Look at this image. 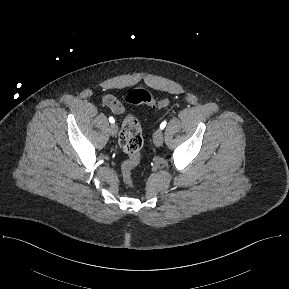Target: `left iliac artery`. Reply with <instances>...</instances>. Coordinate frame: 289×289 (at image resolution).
Listing matches in <instances>:
<instances>
[{
	"label": "left iliac artery",
	"mask_w": 289,
	"mask_h": 289,
	"mask_svg": "<svg viewBox=\"0 0 289 289\" xmlns=\"http://www.w3.org/2000/svg\"><path fill=\"white\" fill-rule=\"evenodd\" d=\"M167 122L166 121H163L161 124H160V129H164L165 126H166Z\"/></svg>",
	"instance_id": "obj_1"
}]
</instances>
